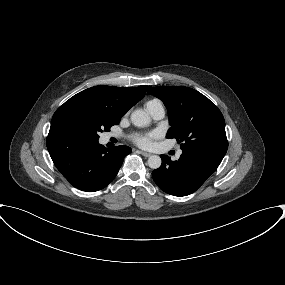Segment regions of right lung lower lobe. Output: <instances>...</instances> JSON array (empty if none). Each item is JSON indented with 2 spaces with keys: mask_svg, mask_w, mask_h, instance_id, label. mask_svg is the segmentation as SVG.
I'll return each instance as SVG.
<instances>
[{
  "mask_svg": "<svg viewBox=\"0 0 285 285\" xmlns=\"http://www.w3.org/2000/svg\"><path fill=\"white\" fill-rule=\"evenodd\" d=\"M47 149L60 173L77 189L94 192L106 187L117 175L128 146L107 149L69 129L53 126Z\"/></svg>",
  "mask_w": 285,
  "mask_h": 285,
  "instance_id": "obj_1",
  "label": "right lung lower lobe"
}]
</instances>
